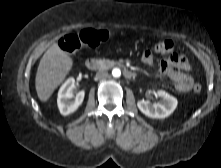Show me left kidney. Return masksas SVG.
Listing matches in <instances>:
<instances>
[{
    "mask_svg": "<svg viewBox=\"0 0 221 168\" xmlns=\"http://www.w3.org/2000/svg\"><path fill=\"white\" fill-rule=\"evenodd\" d=\"M155 95L161 98L160 103L152 104L143 99L137 102L139 110L150 118L163 119L168 117L176 109L177 99L163 90H158Z\"/></svg>",
    "mask_w": 221,
    "mask_h": 168,
    "instance_id": "left-kidney-1",
    "label": "left kidney"
}]
</instances>
